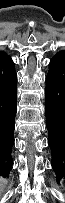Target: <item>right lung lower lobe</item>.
Instances as JSON below:
<instances>
[{
    "label": "right lung lower lobe",
    "instance_id": "98d812e1",
    "mask_svg": "<svg viewBox=\"0 0 65 203\" xmlns=\"http://www.w3.org/2000/svg\"><path fill=\"white\" fill-rule=\"evenodd\" d=\"M17 76L14 65L0 67V176L9 177L12 169L11 149L17 107Z\"/></svg>",
    "mask_w": 65,
    "mask_h": 203
}]
</instances>
